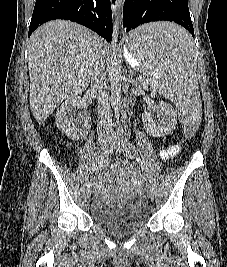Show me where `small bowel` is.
I'll return each mask as SVG.
<instances>
[{"label": "small bowel", "instance_id": "1", "mask_svg": "<svg viewBox=\"0 0 227 267\" xmlns=\"http://www.w3.org/2000/svg\"><path fill=\"white\" fill-rule=\"evenodd\" d=\"M179 151V147L177 145H172L168 147L167 149L163 150L161 155L164 159H170L173 158ZM115 191V188H102V187H97V193L100 195H107L111 194Z\"/></svg>", "mask_w": 227, "mask_h": 267}]
</instances>
